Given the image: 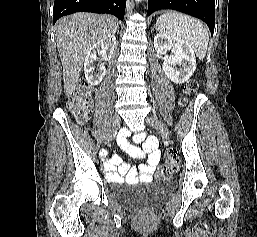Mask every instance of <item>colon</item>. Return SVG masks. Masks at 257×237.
<instances>
[{
    "label": "colon",
    "mask_w": 257,
    "mask_h": 237,
    "mask_svg": "<svg viewBox=\"0 0 257 237\" xmlns=\"http://www.w3.org/2000/svg\"><path fill=\"white\" fill-rule=\"evenodd\" d=\"M199 84L196 80L189 81L184 89L185 95L190 96L198 89ZM93 96L92 89L86 84V82L81 81L74 93L69 100V110L74 114V116L82 121L84 120L91 109V99ZM187 103V98L182 100V104ZM178 165V156L173 150L167 152V161L158 169V177L162 179L169 178L175 171Z\"/></svg>",
    "instance_id": "obj_1"
}]
</instances>
